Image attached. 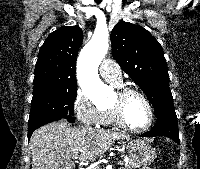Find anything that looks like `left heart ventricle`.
<instances>
[{"instance_id": "1", "label": "left heart ventricle", "mask_w": 200, "mask_h": 169, "mask_svg": "<svg viewBox=\"0 0 200 169\" xmlns=\"http://www.w3.org/2000/svg\"><path fill=\"white\" fill-rule=\"evenodd\" d=\"M117 100L114 94L111 104ZM124 117L127 124L133 128L145 126L149 120V112L145 102L137 95H129L123 102Z\"/></svg>"}]
</instances>
